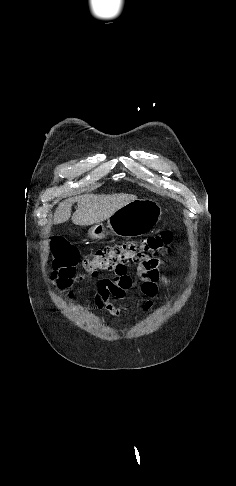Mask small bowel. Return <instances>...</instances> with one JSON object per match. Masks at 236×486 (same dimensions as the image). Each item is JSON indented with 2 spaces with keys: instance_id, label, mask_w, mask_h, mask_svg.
Wrapping results in <instances>:
<instances>
[{
  "instance_id": "obj_1",
  "label": "small bowel",
  "mask_w": 236,
  "mask_h": 486,
  "mask_svg": "<svg viewBox=\"0 0 236 486\" xmlns=\"http://www.w3.org/2000/svg\"><path fill=\"white\" fill-rule=\"evenodd\" d=\"M137 271L135 274L129 271V266L125 265L120 270L114 271L113 278L102 279L94 297L95 306L104 309L112 316L130 315L132 307H117L111 301V297L119 300H130L128 290L139 284L141 292L147 297L143 304V311L148 312L153 306V300L158 294V284H167V279L162 275L160 263L156 259L138 260Z\"/></svg>"
}]
</instances>
